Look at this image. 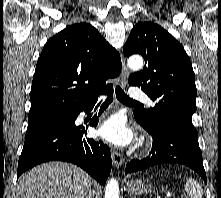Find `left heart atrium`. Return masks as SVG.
<instances>
[{"instance_id": "left-heart-atrium-1", "label": "left heart atrium", "mask_w": 221, "mask_h": 198, "mask_svg": "<svg viewBox=\"0 0 221 198\" xmlns=\"http://www.w3.org/2000/svg\"><path fill=\"white\" fill-rule=\"evenodd\" d=\"M98 134L104 140L116 146H126L133 139V133L127 127L124 118L118 115L105 121L99 128Z\"/></svg>"}]
</instances>
